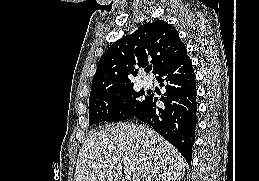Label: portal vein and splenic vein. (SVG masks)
<instances>
[{"label":"portal vein and splenic vein","mask_w":259,"mask_h":181,"mask_svg":"<svg viewBox=\"0 0 259 181\" xmlns=\"http://www.w3.org/2000/svg\"><path fill=\"white\" fill-rule=\"evenodd\" d=\"M132 171H133V170H132L131 168H128V167L125 166V168H124V173H125V175H126L128 178L131 176Z\"/></svg>","instance_id":"portal-vein-and-splenic-vein-1"}]
</instances>
